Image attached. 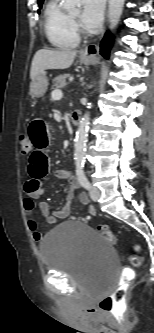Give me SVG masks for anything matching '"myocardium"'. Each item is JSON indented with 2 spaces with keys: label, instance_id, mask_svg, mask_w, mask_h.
I'll list each match as a JSON object with an SVG mask.
<instances>
[{
  "label": "myocardium",
  "instance_id": "1",
  "mask_svg": "<svg viewBox=\"0 0 154 333\" xmlns=\"http://www.w3.org/2000/svg\"><path fill=\"white\" fill-rule=\"evenodd\" d=\"M70 16V19H71V21H72V23L73 24H77V19H75V18H73L71 15H69Z\"/></svg>",
  "mask_w": 154,
  "mask_h": 333
}]
</instances>
